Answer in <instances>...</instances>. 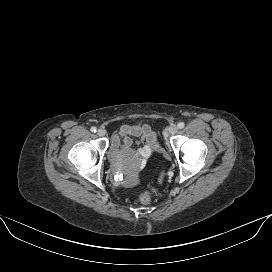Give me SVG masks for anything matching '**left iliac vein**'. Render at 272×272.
Returning a JSON list of instances; mask_svg holds the SVG:
<instances>
[{
	"instance_id": "4c4485c4",
	"label": "left iliac vein",
	"mask_w": 272,
	"mask_h": 272,
	"mask_svg": "<svg viewBox=\"0 0 272 272\" xmlns=\"http://www.w3.org/2000/svg\"><path fill=\"white\" fill-rule=\"evenodd\" d=\"M178 131V127L176 125H171L169 128H168V133L169 134H176Z\"/></svg>"
}]
</instances>
